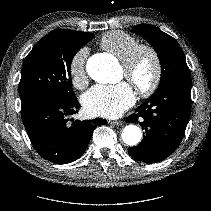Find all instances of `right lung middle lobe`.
I'll use <instances>...</instances> for the list:
<instances>
[{
    "label": "right lung middle lobe",
    "mask_w": 211,
    "mask_h": 211,
    "mask_svg": "<svg viewBox=\"0 0 211 211\" xmlns=\"http://www.w3.org/2000/svg\"><path fill=\"white\" fill-rule=\"evenodd\" d=\"M94 37L68 29H56L44 36L26 56L19 83L21 106L41 97L75 98L71 83L74 55Z\"/></svg>",
    "instance_id": "1"
}]
</instances>
